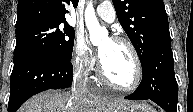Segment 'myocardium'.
Masks as SVG:
<instances>
[{"instance_id":"myocardium-1","label":"myocardium","mask_w":193,"mask_h":112,"mask_svg":"<svg viewBox=\"0 0 193 112\" xmlns=\"http://www.w3.org/2000/svg\"><path fill=\"white\" fill-rule=\"evenodd\" d=\"M111 40L114 42L126 45L128 47V49L130 50L131 55H132L133 60H134V65H135L134 79H133L132 83L127 85V86H122V85H119V84L113 82L105 73L101 61L98 64V74L104 83H106L108 86H110L111 88H113L115 90H118L121 92L134 91L140 85L141 80H142V74H143L142 64H141L139 54H138L135 46L133 45V43L130 40H128L127 38L116 36V37H113Z\"/></svg>"}]
</instances>
